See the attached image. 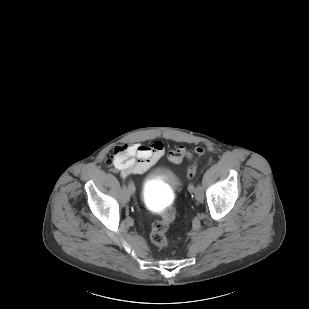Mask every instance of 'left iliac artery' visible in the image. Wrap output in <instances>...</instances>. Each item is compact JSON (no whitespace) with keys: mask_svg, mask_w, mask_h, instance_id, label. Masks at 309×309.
<instances>
[{"mask_svg":"<svg viewBox=\"0 0 309 309\" xmlns=\"http://www.w3.org/2000/svg\"><path fill=\"white\" fill-rule=\"evenodd\" d=\"M198 189H202L200 184H198L197 187H196V190H198ZM194 191H195V187L193 186L192 192H190V191L189 192L194 193Z\"/></svg>","mask_w":309,"mask_h":309,"instance_id":"44dca946","label":"left iliac artery"}]
</instances>
